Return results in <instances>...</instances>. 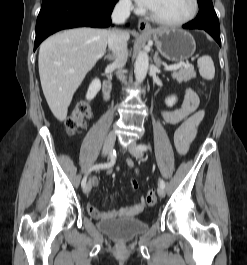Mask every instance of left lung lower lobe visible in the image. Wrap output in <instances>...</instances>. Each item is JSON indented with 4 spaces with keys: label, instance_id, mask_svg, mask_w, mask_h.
Segmentation results:
<instances>
[{
    "label": "left lung lower lobe",
    "instance_id": "0a47b994",
    "mask_svg": "<svg viewBox=\"0 0 247 265\" xmlns=\"http://www.w3.org/2000/svg\"><path fill=\"white\" fill-rule=\"evenodd\" d=\"M199 13L191 22L183 25L185 29H201L208 32L221 46L219 20L212 0H198Z\"/></svg>",
    "mask_w": 247,
    "mask_h": 265
}]
</instances>
